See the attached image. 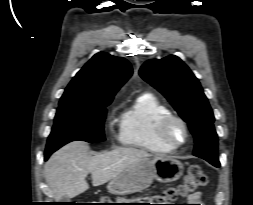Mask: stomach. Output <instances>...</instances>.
<instances>
[{"label": "stomach", "mask_w": 253, "mask_h": 205, "mask_svg": "<svg viewBox=\"0 0 253 205\" xmlns=\"http://www.w3.org/2000/svg\"><path fill=\"white\" fill-rule=\"evenodd\" d=\"M182 174L183 165L176 159L165 156L147 157L137 160L112 179L107 189L111 194L126 195L146 189L154 179L163 183L173 182Z\"/></svg>", "instance_id": "obj_1"}]
</instances>
